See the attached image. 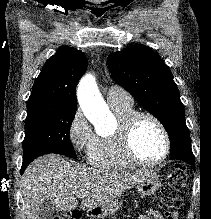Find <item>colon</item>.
Segmentation results:
<instances>
[{"instance_id": "obj_1", "label": "colon", "mask_w": 211, "mask_h": 219, "mask_svg": "<svg viewBox=\"0 0 211 219\" xmlns=\"http://www.w3.org/2000/svg\"><path fill=\"white\" fill-rule=\"evenodd\" d=\"M162 198L160 207L172 210L181 206L186 194V170L183 165L177 164L172 169L167 182L161 188ZM80 214L73 211L71 214L57 216L53 219H79Z\"/></svg>"}]
</instances>
